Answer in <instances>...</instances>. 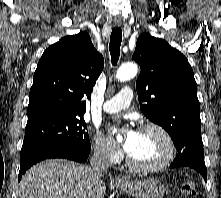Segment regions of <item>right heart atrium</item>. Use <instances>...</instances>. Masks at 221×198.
<instances>
[{"mask_svg":"<svg viewBox=\"0 0 221 198\" xmlns=\"http://www.w3.org/2000/svg\"><path fill=\"white\" fill-rule=\"evenodd\" d=\"M92 148L95 157L99 160L115 163L120 158V153L100 135L94 137Z\"/></svg>","mask_w":221,"mask_h":198,"instance_id":"d8ad5b80","label":"right heart atrium"}]
</instances>
